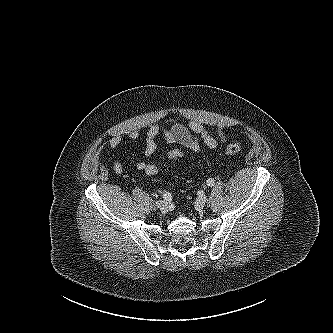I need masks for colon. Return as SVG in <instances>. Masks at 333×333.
I'll return each mask as SVG.
<instances>
[{
    "instance_id": "1",
    "label": "colon",
    "mask_w": 333,
    "mask_h": 333,
    "mask_svg": "<svg viewBox=\"0 0 333 333\" xmlns=\"http://www.w3.org/2000/svg\"><path fill=\"white\" fill-rule=\"evenodd\" d=\"M242 145L239 143H232L229 144L225 150L224 153L226 155H234L237 154L238 152H240L242 150ZM184 156V152L180 149H172L169 153H168V157L170 159H178ZM144 172L147 175L153 176V175H157L159 172V168L155 165V164H147L145 167Z\"/></svg>"
}]
</instances>
